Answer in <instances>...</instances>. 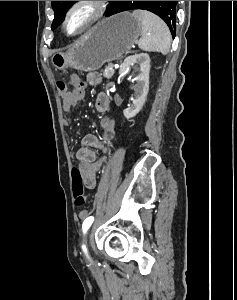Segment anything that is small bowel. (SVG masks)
<instances>
[{"mask_svg": "<svg viewBox=\"0 0 237 300\" xmlns=\"http://www.w3.org/2000/svg\"><path fill=\"white\" fill-rule=\"evenodd\" d=\"M71 83L73 86L78 84L97 85L101 82V76L97 72H90L87 74L84 82L80 80L77 75L71 76ZM63 100V109L66 112H71L82 97H77L72 90L61 92ZM95 108L100 113H105L109 109V99L106 94L99 93L95 99ZM67 126L70 124L67 122ZM100 128L102 136L99 138L95 134H86L82 140L80 147L76 152V158L80 162L78 169L84 177V185L88 191H93L96 186V179L99 170L103 163L107 160L110 148L108 144L116 137V123L112 118L103 117L100 119ZM97 151L102 153L98 156ZM88 215L87 210H81L79 217L81 219Z\"/></svg>", "mask_w": 237, "mask_h": 300, "instance_id": "c3829d8e", "label": "small bowel"}]
</instances>
